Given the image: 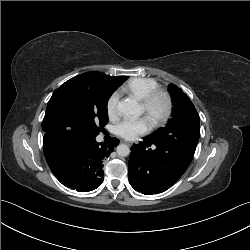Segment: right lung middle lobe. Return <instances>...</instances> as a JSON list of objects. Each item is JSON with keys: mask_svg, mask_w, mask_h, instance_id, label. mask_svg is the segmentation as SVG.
<instances>
[{"mask_svg": "<svg viewBox=\"0 0 250 250\" xmlns=\"http://www.w3.org/2000/svg\"><path fill=\"white\" fill-rule=\"evenodd\" d=\"M127 78L87 72L66 81L48 102L42 123L45 136L96 137L108 123V99Z\"/></svg>", "mask_w": 250, "mask_h": 250, "instance_id": "right-lung-middle-lobe-1", "label": "right lung middle lobe"}]
</instances>
